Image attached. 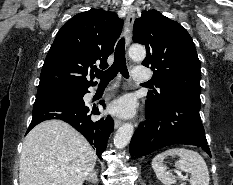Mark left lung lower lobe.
<instances>
[{"label":"left lung lower lobe","mask_w":233,"mask_h":185,"mask_svg":"<svg viewBox=\"0 0 233 185\" xmlns=\"http://www.w3.org/2000/svg\"><path fill=\"white\" fill-rule=\"evenodd\" d=\"M200 106L199 90L181 91L158 110L146 106V120L130 142L131 157L173 144L196 145L211 156L199 115Z\"/></svg>","instance_id":"obj_1"}]
</instances>
